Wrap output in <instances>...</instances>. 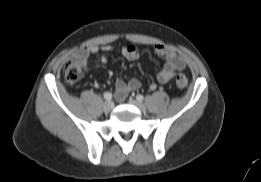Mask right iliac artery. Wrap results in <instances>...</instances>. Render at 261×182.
Returning <instances> with one entry per match:
<instances>
[{
	"label": "right iliac artery",
	"mask_w": 261,
	"mask_h": 182,
	"mask_svg": "<svg viewBox=\"0 0 261 182\" xmlns=\"http://www.w3.org/2000/svg\"><path fill=\"white\" fill-rule=\"evenodd\" d=\"M104 99L107 101H110L112 99V93L111 92H105L104 93Z\"/></svg>",
	"instance_id": "obj_1"
}]
</instances>
